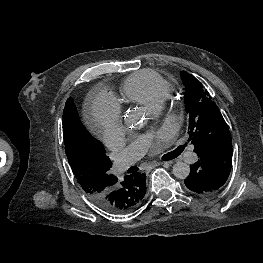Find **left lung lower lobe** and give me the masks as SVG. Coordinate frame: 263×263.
<instances>
[{
  "label": "left lung lower lobe",
  "instance_id": "left-lung-lower-lobe-1",
  "mask_svg": "<svg viewBox=\"0 0 263 263\" xmlns=\"http://www.w3.org/2000/svg\"><path fill=\"white\" fill-rule=\"evenodd\" d=\"M199 160L190 165L185 185L196 194L205 195L225 184L232 165V144L221 143L197 154Z\"/></svg>",
  "mask_w": 263,
  "mask_h": 263
}]
</instances>
